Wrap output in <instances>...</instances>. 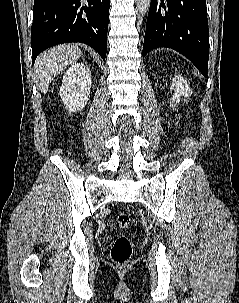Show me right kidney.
<instances>
[{
  "mask_svg": "<svg viewBox=\"0 0 239 303\" xmlns=\"http://www.w3.org/2000/svg\"><path fill=\"white\" fill-rule=\"evenodd\" d=\"M91 73L84 63H75L64 74L60 97L69 113L84 108L90 98Z\"/></svg>",
  "mask_w": 239,
  "mask_h": 303,
  "instance_id": "right-kidney-1",
  "label": "right kidney"
}]
</instances>
